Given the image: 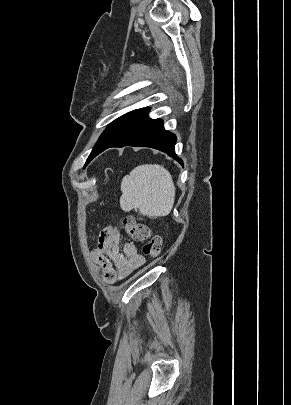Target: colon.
I'll use <instances>...</instances> for the list:
<instances>
[{
	"mask_svg": "<svg viewBox=\"0 0 291 405\" xmlns=\"http://www.w3.org/2000/svg\"><path fill=\"white\" fill-rule=\"evenodd\" d=\"M122 227L126 233L134 240L144 242L143 253L151 258H157L162 249V240L155 235L153 230L145 224L136 222L132 218H124Z\"/></svg>",
	"mask_w": 291,
	"mask_h": 405,
	"instance_id": "obj_1",
	"label": "colon"
}]
</instances>
